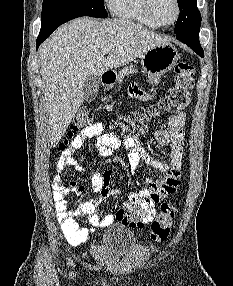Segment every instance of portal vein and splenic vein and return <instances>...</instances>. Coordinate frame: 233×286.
<instances>
[{
    "instance_id": "obj_1",
    "label": "portal vein and splenic vein",
    "mask_w": 233,
    "mask_h": 286,
    "mask_svg": "<svg viewBox=\"0 0 233 286\" xmlns=\"http://www.w3.org/2000/svg\"><path fill=\"white\" fill-rule=\"evenodd\" d=\"M112 46H106V47H104V52H109V51H111L112 50Z\"/></svg>"
}]
</instances>
